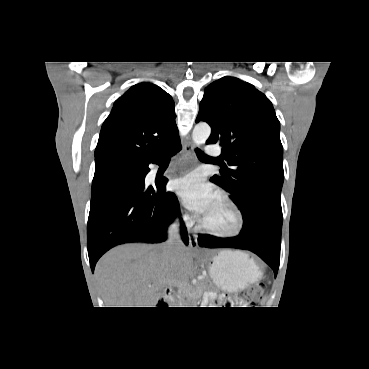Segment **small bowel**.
<instances>
[{
    "mask_svg": "<svg viewBox=\"0 0 369 369\" xmlns=\"http://www.w3.org/2000/svg\"><path fill=\"white\" fill-rule=\"evenodd\" d=\"M213 296L211 295V294H209L208 296H207V299H211Z\"/></svg>",
    "mask_w": 369,
    "mask_h": 369,
    "instance_id": "1",
    "label": "small bowel"
}]
</instances>
